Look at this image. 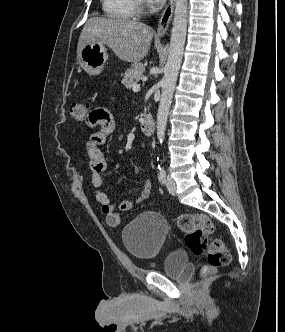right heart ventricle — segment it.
I'll list each match as a JSON object with an SVG mask.
<instances>
[{
    "mask_svg": "<svg viewBox=\"0 0 285 332\" xmlns=\"http://www.w3.org/2000/svg\"><path fill=\"white\" fill-rule=\"evenodd\" d=\"M104 14L115 20H131L137 14L136 0H101Z\"/></svg>",
    "mask_w": 285,
    "mask_h": 332,
    "instance_id": "1",
    "label": "right heart ventricle"
}]
</instances>
